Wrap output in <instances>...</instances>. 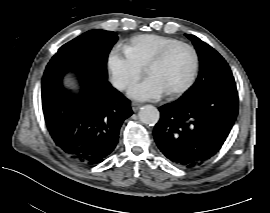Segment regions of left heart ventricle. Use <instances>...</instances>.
Here are the masks:
<instances>
[{
    "instance_id": "b2bd125f",
    "label": "left heart ventricle",
    "mask_w": 270,
    "mask_h": 213,
    "mask_svg": "<svg viewBox=\"0 0 270 213\" xmlns=\"http://www.w3.org/2000/svg\"><path fill=\"white\" fill-rule=\"evenodd\" d=\"M194 66V56L187 48L171 52L160 64L150 70L164 90L172 91L183 86L189 79Z\"/></svg>"
}]
</instances>
